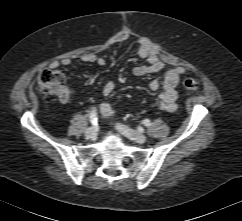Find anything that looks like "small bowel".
<instances>
[{
  "mask_svg": "<svg viewBox=\"0 0 242 221\" xmlns=\"http://www.w3.org/2000/svg\"><path fill=\"white\" fill-rule=\"evenodd\" d=\"M128 39V35L123 34L118 37L117 41L122 42ZM138 54L141 58L147 61V65H136L132 72L136 76H144L150 73H156L163 71L162 79H153L149 83V88L152 91H157L161 88V91L157 98L155 99V105L157 108L164 110L166 112H174L177 109V99L178 92L177 86L179 83L180 76L185 72L182 67H166V63L160 58L158 53L150 46V44L144 40L140 39ZM81 61L88 64H97L99 66H104L106 61L104 58L97 56L93 53H87L81 56ZM72 60L70 58H63L59 61H53L50 64L51 69H56L60 66L71 65ZM116 85L113 81H108L103 87V95L106 98L99 106L101 115L104 118H110L115 115V110L113 109L109 98L114 93ZM69 95L65 100L68 101Z\"/></svg>",
  "mask_w": 242,
  "mask_h": 221,
  "instance_id": "small-bowel-1",
  "label": "small bowel"
}]
</instances>
